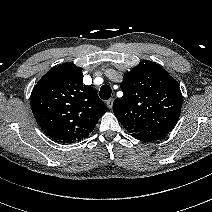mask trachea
Segmentation results:
<instances>
[{"mask_svg":"<svg viewBox=\"0 0 212 212\" xmlns=\"http://www.w3.org/2000/svg\"><path fill=\"white\" fill-rule=\"evenodd\" d=\"M111 92H112V90L109 85H103L100 88L99 95H100L101 99L108 100L111 97Z\"/></svg>","mask_w":212,"mask_h":212,"instance_id":"3493384b","label":"trachea"}]
</instances>
